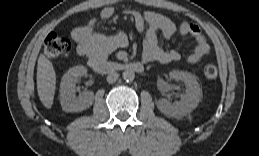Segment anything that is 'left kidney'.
Here are the masks:
<instances>
[{
	"label": "left kidney",
	"mask_w": 259,
	"mask_h": 156,
	"mask_svg": "<svg viewBox=\"0 0 259 156\" xmlns=\"http://www.w3.org/2000/svg\"><path fill=\"white\" fill-rule=\"evenodd\" d=\"M169 76L176 80L182 81L186 85L185 93L181 96V101L171 103L167 99H160L157 102L158 109L165 115L171 117H181L195 109L202 97V90L196 77L185 71H171Z\"/></svg>",
	"instance_id": "left-kidney-1"
}]
</instances>
